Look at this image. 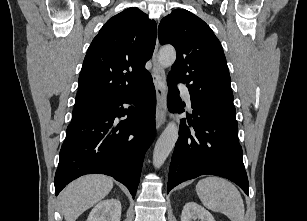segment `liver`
Here are the masks:
<instances>
[{"instance_id": "1", "label": "liver", "mask_w": 307, "mask_h": 221, "mask_svg": "<svg viewBox=\"0 0 307 221\" xmlns=\"http://www.w3.org/2000/svg\"><path fill=\"white\" fill-rule=\"evenodd\" d=\"M113 188V180L100 174L86 175L71 182L60 195L65 221L76 219L105 198Z\"/></svg>"}]
</instances>
